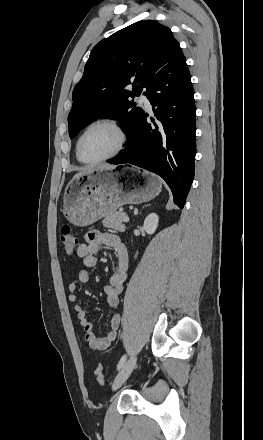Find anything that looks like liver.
I'll use <instances>...</instances> for the list:
<instances>
[{"label":"liver","instance_id":"6515ba94","mask_svg":"<svg viewBox=\"0 0 263 440\" xmlns=\"http://www.w3.org/2000/svg\"><path fill=\"white\" fill-rule=\"evenodd\" d=\"M114 168H115V166L105 164V165H101V166H99V167L96 168V169H107V170H112V169H114ZM91 170H93V169H90V170H88V171H91ZM85 172H87V171L80 172V173L76 174L75 176L81 175V174H83V173H85Z\"/></svg>","mask_w":263,"mask_h":440}]
</instances>
